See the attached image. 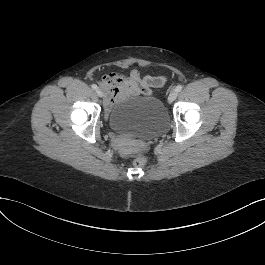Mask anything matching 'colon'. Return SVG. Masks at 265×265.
I'll use <instances>...</instances> for the list:
<instances>
[{
  "instance_id": "colon-1",
  "label": "colon",
  "mask_w": 265,
  "mask_h": 265,
  "mask_svg": "<svg viewBox=\"0 0 265 265\" xmlns=\"http://www.w3.org/2000/svg\"><path fill=\"white\" fill-rule=\"evenodd\" d=\"M147 163V157L145 155H140L134 160V165L136 167H143Z\"/></svg>"
}]
</instances>
